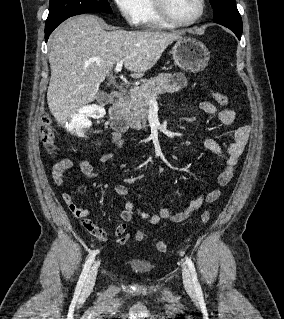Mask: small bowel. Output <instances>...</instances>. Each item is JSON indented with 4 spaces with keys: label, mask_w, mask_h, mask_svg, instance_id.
Here are the masks:
<instances>
[{
    "label": "small bowel",
    "mask_w": 284,
    "mask_h": 319,
    "mask_svg": "<svg viewBox=\"0 0 284 319\" xmlns=\"http://www.w3.org/2000/svg\"><path fill=\"white\" fill-rule=\"evenodd\" d=\"M199 110L208 115H217L219 121L223 125H232L236 119V114L233 110L223 109L218 110L217 107L208 101L201 102L198 106ZM250 129L247 126L238 127L233 135V140L228 146L226 151H223L221 146L213 139H206L204 146L209 151L219 155L223 161L224 166L217 177V185L206 194H200L197 198L193 199L186 207L180 210H173L168 207L160 208L156 213L145 212L136 209L134 204L127 200L128 188L125 185H116L115 192L123 201V210L121 212V222L115 229V236H122L127 229V224L131 221L134 213L136 212L142 219L148 221L152 225H157L163 219L172 222H182L188 219L194 212H196L205 202L212 203L216 201L222 192V189L230 182L233 177L235 166L241 157L246 147ZM112 141L115 143L112 150L103 154V159L108 160L112 157L113 153L122 147L123 143L118 133L112 135ZM74 165L72 159L64 157L60 159L52 167V177L56 185H63V174L65 171L71 169ZM79 168L81 172L89 179H96L97 174L94 171L90 161L87 157L80 159ZM62 199L67 205L71 213L80 220L84 229L99 241H106L109 239L107 231L97 226L90 218L89 211L78 207L70 193H63Z\"/></svg>",
    "instance_id": "small-bowel-1"
}]
</instances>
